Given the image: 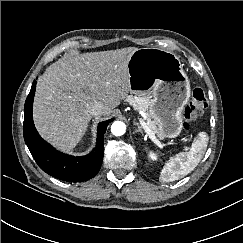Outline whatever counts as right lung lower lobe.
Masks as SVG:
<instances>
[{"instance_id":"obj_1","label":"right lung lower lobe","mask_w":243,"mask_h":243,"mask_svg":"<svg viewBox=\"0 0 243 243\" xmlns=\"http://www.w3.org/2000/svg\"><path fill=\"white\" fill-rule=\"evenodd\" d=\"M35 87L36 80L32 84L24 106L23 134L25 143L36 163L49 175L68 182H82L94 177L100 170L103 161V137L112 120L99 124L97 145L90 154L74 157L61 153L44 141L34 127L32 104Z\"/></svg>"}]
</instances>
